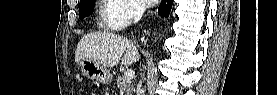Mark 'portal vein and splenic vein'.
Returning <instances> with one entry per match:
<instances>
[{
  "instance_id": "portal-vein-and-splenic-vein-1",
  "label": "portal vein and splenic vein",
  "mask_w": 277,
  "mask_h": 95,
  "mask_svg": "<svg viewBox=\"0 0 277 95\" xmlns=\"http://www.w3.org/2000/svg\"><path fill=\"white\" fill-rule=\"evenodd\" d=\"M124 77L128 80H132L135 77V72L132 70H127L124 72Z\"/></svg>"
}]
</instances>
